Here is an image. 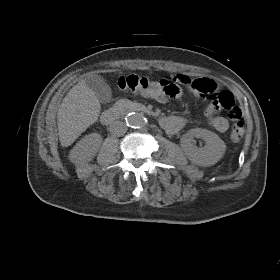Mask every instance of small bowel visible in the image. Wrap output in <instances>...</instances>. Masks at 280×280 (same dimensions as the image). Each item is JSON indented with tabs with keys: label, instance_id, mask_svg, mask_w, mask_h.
<instances>
[{
	"label": "small bowel",
	"instance_id": "1",
	"mask_svg": "<svg viewBox=\"0 0 280 280\" xmlns=\"http://www.w3.org/2000/svg\"><path fill=\"white\" fill-rule=\"evenodd\" d=\"M175 80L181 85L186 87L193 95L198 98H204V94L199 91V88L204 87L207 83H212L217 87L216 83L207 78H193L185 74H178ZM205 116L212 128L218 132H225L229 128L228 120L222 116H216L212 105L207 106L205 110ZM165 121L161 125L168 134H176L183 129L188 120L182 116H167L164 118Z\"/></svg>",
	"mask_w": 280,
	"mask_h": 280
}]
</instances>
